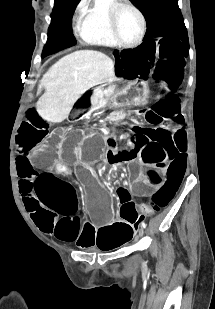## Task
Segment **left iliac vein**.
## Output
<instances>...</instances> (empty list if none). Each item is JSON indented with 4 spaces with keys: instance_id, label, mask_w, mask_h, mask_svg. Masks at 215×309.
I'll list each match as a JSON object with an SVG mask.
<instances>
[{
    "instance_id": "left-iliac-vein-1",
    "label": "left iliac vein",
    "mask_w": 215,
    "mask_h": 309,
    "mask_svg": "<svg viewBox=\"0 0 215 309\" xmlns=\"http://www.w3.org/2000/svg\"><path fill=\"white\" fill-rule=\"evenodd\" d=\"M144 234V227L142 225H140L139 227V237H142Z\"/></svg>"
}]
</instances>
